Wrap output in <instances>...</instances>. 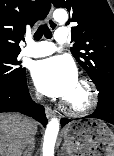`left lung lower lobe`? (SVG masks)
Masks as SVG:
<instances>
[{"instance_id": "1", "label": "left lung lower lobe", "mask_w": 114, "mask_h": 156, "mask_svg": "<svg viewBox=\"0 0 114 156\" xmlns=\"http://www.w3.org/2000/svg\"><path fill=\"white\" fill-rule=\"evenodd\" d=\"M102 92V94L98 95V106L96 110L85 118L101 119L114 125V88H109ZM69 121L66 118L62 119L61 124L65 125Z\"/></svg>"}]
</instances>
